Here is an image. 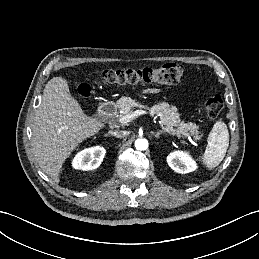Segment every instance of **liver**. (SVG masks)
<instances>
[{"mask_svg":"<svg viewBox=\"0 0 259 259\" xmlns=\"http://www.w3.org/2000/svg\"><path fill=\"white\" fill-rule=\"evenodd\" d=\"M105 125L84 113L66 79L54 77L43 91L32 126L33 154L40 168L55 182L65 160L84 140Z\"/></svg>","mask_w":259,"mask_h":259,"instance_id":"liver-1","label":"liver"}]
</instances>
